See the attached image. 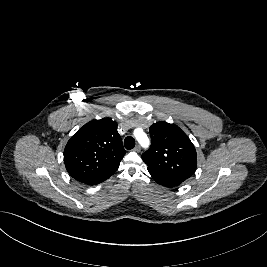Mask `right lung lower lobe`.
Returning a JSON list of instances; mask_svg holds the SVG:
<instances>
[{"instance_id":"obj_1","label":"right lung lower lobe","mask_w":267,"mask_h":267,"mask_svg":"<svg viewBox=\"0 0 267 267\" xmlns=\"http://www.w3.org/2000/svg\"><path fill=\"white\" fill-rule=\"evenodd\" d=\"M114 172H115V171H114ZM114 172L107 173V174L101 176L100 178H97V179L88 181V182H86L85 184H87V185H96V184H99V183L105 181L106 179H108L111 175L114 174Z\"/></svg>"}]
</instances>
